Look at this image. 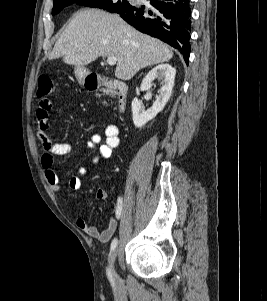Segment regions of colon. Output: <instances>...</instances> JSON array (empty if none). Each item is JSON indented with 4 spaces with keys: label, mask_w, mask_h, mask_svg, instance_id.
<instances>
[{
    "label": "colon",
    "mask_w": 267,
    "mask_h": 301,
    "mask_svg": "<svg viewBox=\"0 0 267 301\" xmlns=\"http://www.w3.org/2000/svg\"><path fill=\"white\" fill-rule=\"evenodd\" d=\"M54 91V84L50 77L40 76L38 79L37 96L38 98H48Z\"/></svg>",
    "instance_id": "obj_1"
}]
</instances>
